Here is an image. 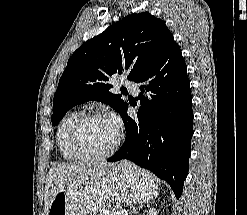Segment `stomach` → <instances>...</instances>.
<instances>
[{
  "label": "stomach",
  "mask_w": 247,
  "mask_h": 215,
  "mask_svg": "<svg viewBox=\"0 0 247 215\" xmlns=\"http://www.w3.org/2000/svg\"><path fill=\"white\" fill-rule=\"evenodd\" d=\"M157 195L158 185L152 176L123 161L82 191L63 189L58 192L47 215H92L103 210L111 201L142 203Z\"/></svg>",
  "instance_id": "1"
}]
</instances>
